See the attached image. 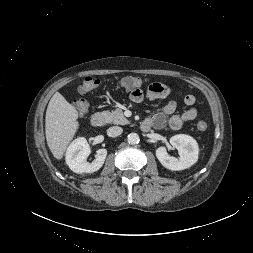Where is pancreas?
Listing matches in <instances>:
<instances>
[{
    "instance_id": "pancreas-1",
    "label": "pancreas",
    "mask_w": 253,
    "mask_h": 253,
    "mask_svg": "<svg viewBox=\"0 0 253 253\" xmlns=\"http://www.w3.org/2000/svg\"><path fill=\"white\" fill-rule=\"evenodd\" d=\"M102 115L107 123L119 125H125L130 123L128 119L124 116L123 111L121 109H116L112 112L103 111Z\"/></svg>"
}]
</instances>
